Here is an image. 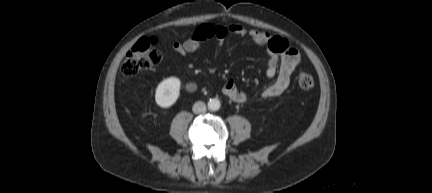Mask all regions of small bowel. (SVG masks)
Masks as SVG:
<instances>
[{"label":"small bowel","mask_w":432,"mask_h":193,"mask_svg":"<svg viewBox=\"0 0 432 193\" xmlns=\"http://www.w3.org/2000/svg\"><path fill=\"white\" fill-rule=\"evenodd\" d=\"M228 32L234 33L240 37H249L255 43L263 46L267 52V68L266 75L273 82L265 87L260 95L263 98H272L280 96L289 86L291 74L300 62V53L297 49L290 46L289 42L278 36H273L268 32L246 29L237 24L230 25L228 28L204 24L199 26L194 34L184 42H175L173 50L180 56H185L195 52L200 44L208 39L214 38L218 43H221ZM210 73L216 71L215 66L208 68ZM188 91H194L196 85L192 82L186 85ZM223 94L229 99L243 103L248 100V94L239 88L233 80H229L223 86Z\"/></svg>","instance_id":"1"}]
</instances>
